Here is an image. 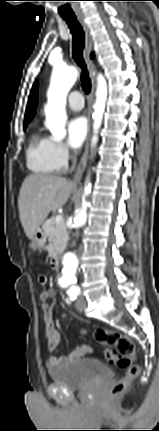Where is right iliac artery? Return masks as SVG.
Masks as SVG:
<instances>
[{
    "mask_svg": "<svg viewBox=\"0 0 159 431\" xmlns=\"http://www.w3.org/2000/svg\"><path fill=\"white\" fill-rule=\"evenodd\" d=\"M75 289L72 287L69 291H68V294H69V296H72V293H73V291H74Z\"/></svg>",
    "mask_w": 159,
    "mask_h": 431,
    "instance_id": "obj_1",
    "label": "right iliac artery"
}]
</instances>
